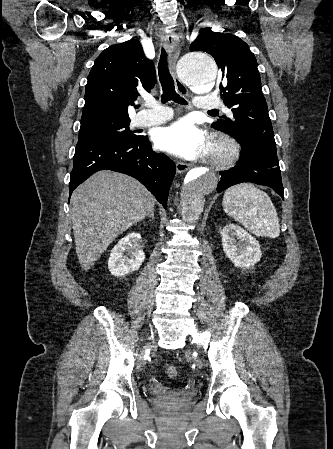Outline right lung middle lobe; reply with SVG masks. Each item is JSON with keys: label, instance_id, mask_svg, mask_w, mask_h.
Segmentation results:
<instances>
[{"label": "right lung middle lobe", "instance_id": "right-lung-middle-lobe-1", "mask_svg": "<svg viewBox=\"0 0 333 449\" xmlns=\"http://www.w3.org/2000/svg\"><path fill=\"white\" fill-rule=\"evenodd\" d=\"M130 120L105 122L94 124L88 127L80 128L78 142L110 139V140H126L134 142L142 138L129 129Z\"/></svg>", "mask_w": 333, "mask_h": 449}]
</instances>
